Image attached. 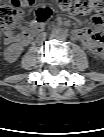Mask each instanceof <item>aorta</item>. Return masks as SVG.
<instances>
[{
    "instance_id": "762f6f07",
    "label": "aorta",
    "mask_w": 104,
    "mask_h": 137,
    "mask_svg": "<svg viewBox=\"0 0 104 137\" xmlns=\"http://www.w3.org/2000/svg\"><path fill=\"white\" fill-rule=\"evenodd\" d=\"M56 37H57L58 39H63V38L65 37V32H64L63 30H58V31L56 32Z\"/></svg>"
}]
</instances>
